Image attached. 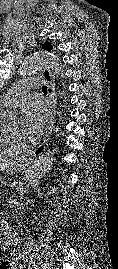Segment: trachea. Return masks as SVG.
<instances>
[{"label":"trachea","instance_id":"1","mask_svg":"<svg viewBox=\"0 0 118 269\" xmlns=\"http://www.w3.org/2000/svg\"><path fill=\"white\" fill-rule=\"evenodd\" d=\"M42 92H43V93H47V86H43V87H42Z\"/></svg>","mask_w":118,"mask_h":269}]
</instances>
